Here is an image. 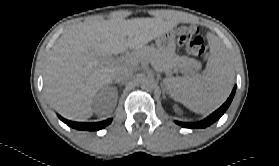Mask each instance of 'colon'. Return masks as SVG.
I'll use <instances>...</instances> for the list:
<instances>
[{
    "mask_svg": "<svg viewBox=\"0 0 279 166\" xmlns=\"http://www.w3.org/2000/svg\"><path fill=\"white\" fill-rule=\"evenodd\" d=\"M177 37L180 46L190 52L193 56L206 59L208 51L200 30L196 25H184L178 28Z\"/></svg>",
    "mask_w": 279,
    "mask_h": 166,
    "instance_id": "1",
    "label": "colon"
}]
</instances>
